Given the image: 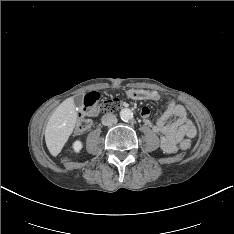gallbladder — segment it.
I'll use <instances>...</instances> for the list:
<instances>
[{
  "instance_id": "gallbladder-1",
  "label": "gallbladder",
  "mask_w": 234,
  "mask_h": 234,
  "mask_svg": "<svg viewBox=\"0 0 234 234\" xmlns=\"http://www.w3.org/2000/svg\"><path fill=\"white\" fill-rule=\"evenodd\" d=\"M73 100H74L75 105L77 107H80L81 104H82V101H83V97H82V95H77V96L74 97Z\"/></svg>"
}]
</instances>
